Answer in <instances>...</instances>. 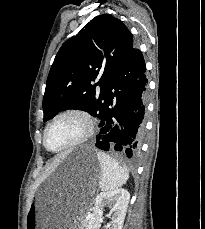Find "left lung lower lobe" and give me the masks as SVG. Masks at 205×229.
<instances>
[{
  "mask_svg": "<svg viewBox=\"0 0 205 229\" xmlns=\"http://www.w3.org/2000/svg\"><path fill=\"white\" fill-rule=\"evenodd\" d=\"M145 73L143 55L133 47L109 88V99L99 120L100 133L96 136L99 149L122 151L128 158L139 154L145 127Z\"/></svg>",
  "mask_w": 205,
  "mask_h": 229,
  "instance_id": "obj_1",
  "label": "left lung lower lobe"
}]
</instances>
